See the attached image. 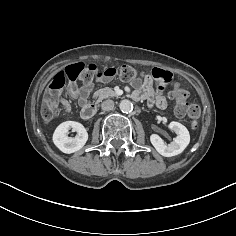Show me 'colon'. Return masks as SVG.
Instances as JSON below:
<instances>
[{"label":"colon","mask_w":236,"mask_h":236,"mask_svg":"<svg viewBox=\"0 0 236 236\" xmlns=\"http://www.w3.org/2000/svg\"><path fill=\"white\" fill-rule=\"evenodd\" d=\"M115 75H118L125 81H135L139 78V72L130 65H123L119 69L111 67L98 71L94 64L85 65L82 63H77L59 71L50 81L48 90L44 97L41 110L43 120L45 122H50L58 113V93L66 85H69L70 88H76L75 84L77 81L88 83L91 82L94 76L109 79ZM171 81L172 76L167 72L164 76L163 82L157 86L158 89H164V87L170 84ZM188 96L189 93L178 85L173 86L170 91V97L176 102V115L179 117H189L192 129H196L198 127L201 111L198 105L187 102Z\"/></svg>","instance_id":"colon-1"}]
</instances>
